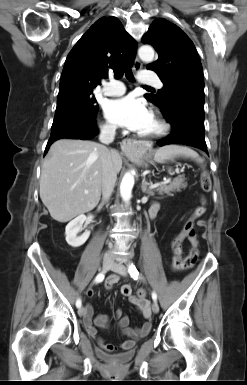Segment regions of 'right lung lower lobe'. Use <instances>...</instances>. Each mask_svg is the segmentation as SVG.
<instances>
[{
	"mask_svg": "<svg viewBox=\"0 0 247 385\" xmlns=\"http://www.w3.org/2000/svg\"><path fill=\"white\" fill-rule=\"evenodd\" d=\"M95 117H73L62 122H59L51 127V136L47 143L45 154L47 153L49 146L56 140L62 138L69 139H90L97 133V127L95 126Z\"/></svg>",
	"mask_w": 247,
	"mask_h": 385,
	"instance_id": "1",
	"label": "right lung lower lobe"
}]
</instances>
